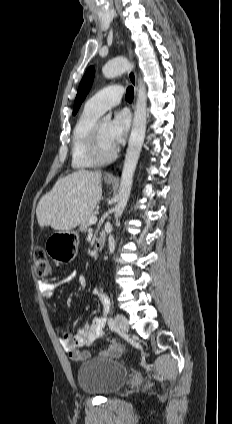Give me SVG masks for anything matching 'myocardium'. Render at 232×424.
<instances>
[{"label":"myocardium","instance_id":"obj_1","mask_svg":"<svg viewBox=\"0 0 232 424\" xmlns=\"http://www.w3.org/2000/svg\"><path fill=\"white\" fill-rule=\"evenodd\" d=\"M88 155L96 164H107L112 162L118 155L116 147L110 155H104L100 144V122L97 121L91 131L88 143Z\"/></svg>","mask_w":232,"mask_h":424}]
</instances>
